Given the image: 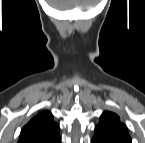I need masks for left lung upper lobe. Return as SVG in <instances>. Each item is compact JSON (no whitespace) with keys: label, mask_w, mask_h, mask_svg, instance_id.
I'll use <instances>...</instances> for the list:
<instances>
[{"label":"left lung upper lobe","mask_w":145,"mask_h":143,"mask_svg":"<svg viewBox=\"0 0 145 143\" xmlns=\"http://www.w3.org/2000/svg\"><path fill=\"white\" fill-rule=\"evenodd\" d=\"M94 137L106 143H132L126 125L115 113L108 111L101 115Z\"/></svg>","instance_id":"obj_1"}]
</instances>
